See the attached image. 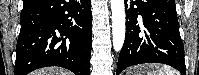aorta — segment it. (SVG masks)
Returning <instances> with one entry per match:
<instances>
[{
	"mask_svg": "<svg viewBox=\"0 0 199 75\" xmlns=\"http://www.w3.org/2000/svg\"><path fill=\"white\" fill-rule=\"evenodd\" d=\"M112 35L115 51H120L125 39V7L124 0H111Z\"/></svg>",
	"mask_w": 199,
	"mask_h": 75,
	"instance_id": "762f6f07",
	"label": "aorta"
}]
</instances>
